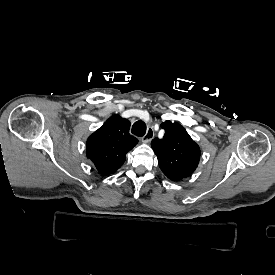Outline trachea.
I'll return each mask as SVG.
<instances>
[{"label":"trachea","instance_id":"trachea-1","mask_svg":"<svg viewBox=\"0 0 275 275\" xmlns=\"http://www.w3.org/2000/svg\"><path fill=\"white\" fill-rule=\"evenodd\" d=\"M146 125L142 121L135 122L132 126V133L138 137H142L146 133Z\"/></svg>","mask_w":275,"mask_h":275}]
</instances>
